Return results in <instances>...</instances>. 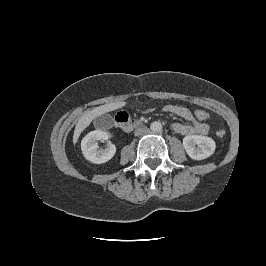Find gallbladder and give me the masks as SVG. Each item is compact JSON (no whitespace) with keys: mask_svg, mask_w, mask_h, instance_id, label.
Returning a JSON list of instances; mask_svg holds the SVG:
<instances>
[{"mask_svg":"<svg viewBox=\"0 0 266 266\" xmlns=\"http://www.w3.org/2000/svg\"><path fill=\"white\" fill-rule=\"evenodd\" d=\"M94 123L97 127L111 126L113 124V118L109 114L100 115L95 118Z\"/></svg>","mask_w":266,"mask_h":266,"instance_id":"obj_1","label":"gallbladder"}]
</instances>
